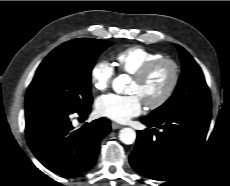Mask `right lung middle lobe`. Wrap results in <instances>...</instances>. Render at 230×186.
<instances>
[{
  "label": "right lung middle lobe",
  "mask_w": 230,
  "mask_h": 186,
  "mask_svg": "<svg viewBox=\"0 0 230 186\" xmlns=\"http://www.w3.org/2000/svg\"><path fill=\"white\" fill-rule=\"evenodd\" d=\"M112 42L79 38L55 48L42 61L28 88L25 109L79 111L92 103L91 71Z\"/></svg>",
  "instance_id": "1"
}]
</instances>
